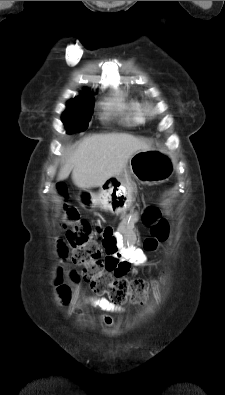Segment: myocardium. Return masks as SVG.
Here are the masks:
<instances>
[{"label": "myocardium", "instance_id": "myocardium-1", "mask_svg": "<svg viewBox=\"0 0 225 395\" xmlns=\"http://www.w3.org/2000/svg\"><path fill=\"white\" fill-rule=\"evenodd\" d=\"M141 112L144 117L149 118V119L155 117V115H156L155 107L150 102H146L141 105Z\"/></svg>", "mask_w": 225, "mask_h": 395}]
</instances>
